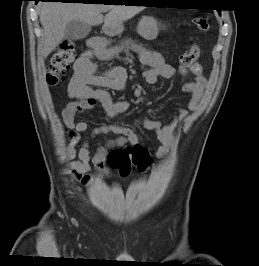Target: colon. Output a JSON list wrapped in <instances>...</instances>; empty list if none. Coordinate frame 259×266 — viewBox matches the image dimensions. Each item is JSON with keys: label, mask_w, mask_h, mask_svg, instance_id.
<instances>
[{"label": "colon", "mask_w": 259, "mask_h": 266, "mask_svg": "<svg viewBox=\"0 0 259 266\" xmlns=\"http://www.w3.org/2000/svg\"><path fill=\"white\" fill-rule=\"evenodd\" d=\"M197 29L206 33L209 30V23L203 17L194 20ZM200 49L197 45H192L189 50L184 52L180 57V63L183 66L195 64L199 58ZM76 58V48L72 42H63L56 53L53 55L50 65L48 66L46 79L49 85L59 84L65 77L70 65ZM108 165L116 169L121 175H128L135 167L138 171H146L152 159L145 147L140 144L116 148L112 150L107 159Z\"/></svg>", "instance_id": "1"}]
</instances>
